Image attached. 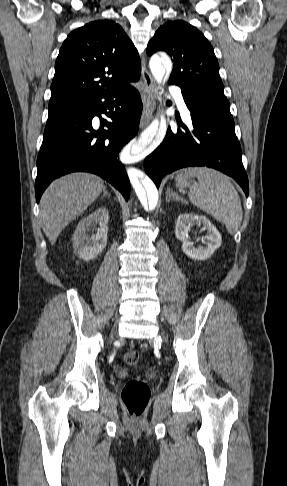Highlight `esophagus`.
<instances>
[{
	"label": "esophagus",
	"mask_w": 287,
	"mask_h": 486,
	"mask_svg": "<svg viewBox=\"0 0 287 486\" xmlns=\"http://www.w3.org/2000/svg\"><path fill=\"white\" fill-rule=\"evenodd\" d=\"M141 74L143 79V87H142L143 111L140 120V128H144L149 124L152 118V114L154 112L155 102H156L155 80L146 68L144 56L142 58Z\"/></svg>",
	"instance_id": "1"
}]
</instances>
